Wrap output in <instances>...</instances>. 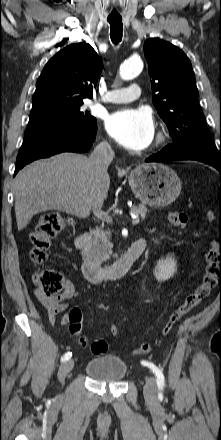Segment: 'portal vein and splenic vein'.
Here are the masks:
<instances>
[{"label": "portal vein and splenic vein", "mask_w": 221, "mask_h": 440, "mask_svg": "<svg viewBox=\"0 0 221 440\" xmlns=\"http://www.w3.org/2000/svg\"><path fill=\"white\" fill-rule=\"evenodd\" d=\"M94 215L97 216L102 221H106L108 223L112 222V218L108 215V213L103 212L101 210H94ZM140 219L138 217H134L132 220L133 225H137L139 223Z\"/></svg>", "instance_id": "portal-vein-and-splenic-vein-1"}]
</instances>
